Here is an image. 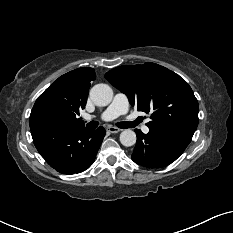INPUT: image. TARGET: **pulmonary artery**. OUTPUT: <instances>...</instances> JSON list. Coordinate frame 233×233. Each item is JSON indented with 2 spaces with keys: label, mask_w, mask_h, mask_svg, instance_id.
Wrapping results in <instances>:
<instances>
[{
  "label": "pulmonary artery",
  "mask_w": 233,
  "mask_h": 233,
  "mask_svg": "<svg viewBox=\"0 0 233 233\" xmlns=\"http://www.w3.org/2000/svg\"><path fill=\"white\" fill-rule=\"evenodd\" d=\"M128 108L129 102L127 96L123 93H118L115 95L112 103L108 106V108L102 112L100 119L103 121H111L118 116L125 114L128 111ZM85 118L87 120L92 119V117L89 115ZM142 130L146 134L149 132V128L146 125L142 126Z\"/></svg>",
  "instance_id": "obj_1"
}]
</instances>
